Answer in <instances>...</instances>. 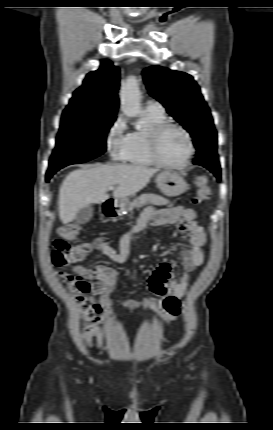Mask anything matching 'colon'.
<instances>
[{
	"mask_svg": "<svg viewBox=\"0 0 273 430\" xmlns=\"http://www.w3.org/2000/svg\"><path fill=\"white\" fill-rule=\"evenodd\" d=\"M195 184L198 191L192 201L195 204H200L210 196L208 178L206 176H198L195 178ZM78 233L79 226L75 223L61 227V238L55 241L51 259L53 265L58 268L61 279L73 291L79 303L86 328L89 329L100 313L101 306L90 296L91 290L84 283L87 278L62 270V268L70 264L83 260L91 251L90 244L75 242Z\"/></svg>",
	"mask_w": 273,
	"mask_h": 430,
	"instance_id": "obj_1",
	"label": "colon"
}]
</instances>
